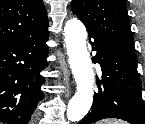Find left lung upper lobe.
<instances>
[{
    "instance_id": "5c2ea615",
    "label": "left lung upper lobe",
    "mask_w": 145,
    "mask_h": 124,
    "mask_svg": "<svg viewBox=\"0 0 145 124\" xmlns=\"http://www.w3.org/2000/svg\"><path fill=\"white\" fill-rule=\"evenodd\" d=\"M71 8L89 34L135 57L124 0H72Z\"/></svg>"
}]
</instances>
